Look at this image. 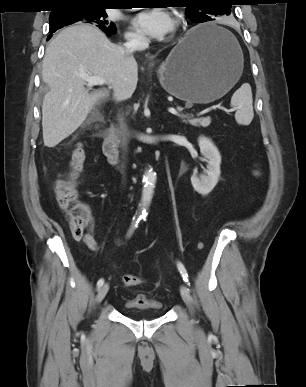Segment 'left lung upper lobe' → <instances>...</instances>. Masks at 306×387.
<instances>
[{
    "mask_svg": "<svg viewBox=\"0 0 306 387\" xmlns=\"http://www.w3.org/2000/svg\"><path fill=\"white\" fill-rule=\"evenodd\" d=\"M229 2L230 0H182L188 17L196 23L212 21L215 17L229 15L231 13Z\"/></svg>",
    "mask_w": 306,
    "mask_h": 387,
    "instance_id": "1",
    "label": "left lung upper lobe"
}]
</instances>
